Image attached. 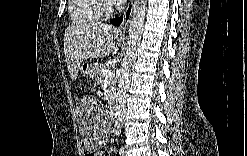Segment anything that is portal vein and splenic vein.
<instances>
[{"mask_svg": "<svg viewBox=\"0 0 247 156\" xmlns=\"http://www.w3.org/2000/svg\"><path fill=\"white\" fill-rule=\"evenodd\" d=\"M112 76H113L112 70H107L105 72V81L109 80V78L112 77Z\"/></svg>", "mask_w": 247, "mask_h": 156, "instance_id": "18ae733b", "label": "portal vein and splenic vein"}]
</instances>
